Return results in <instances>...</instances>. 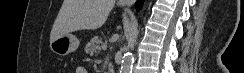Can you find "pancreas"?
<instances>
[{
	"mask_svg": "<svg viewBox=\"0 0 244 73\" xmlns=\"http://www.w3.org/2000/svg\"><path fill=\"white\" fill-rule=\"evenodd\" d=\"M101 45H102V41L101 38L99 37H93L90 42L87 43V45L85 46V52L86 54H96L100 51L101 49Z\"/></svg>",
	"mask_w": 244,
	"mask_h": 73,
	"instance_id": "pancreas-1",
	"label": "pancreas"
}]
</instances>
